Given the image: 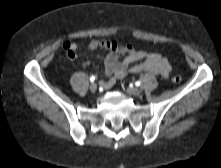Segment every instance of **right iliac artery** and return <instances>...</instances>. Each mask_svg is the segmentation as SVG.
<instances>
[{
  "instance_id": "right-iliac-artery-1",
  "label": "right iliac artery",
  "mask_w": 221,
  "mask_h": 168,
  "mask_svg": "<svg viewBox=\"0 0 221 168\" xmlns=\"http://www.w3.org/2000/svg\"><path fill=\"white\" fill-rule=\"evenodd\" d=\"M90 81H91V82H94V81H95V76H91V77H90Z\"/></svg>"
}]
</instances>
